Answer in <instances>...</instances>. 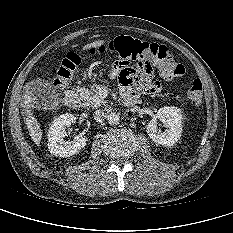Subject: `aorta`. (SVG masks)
<instances>
[{
    "instance_id": "obj_1",
    "label": "aorta",
    "mask_w": 233,
    "mask_h": 233,
    "mask_svg": "<svg viewBox=\"0 0 233 233\" xmlns=\"http://www.w3.org/2000/svg\"><path fill=\"white\" fill-rule=\"evenodd\" d=\"M107 121L110 125L119 124L120 116L117 113L111 112L107 115Z\"/></svg>"
}]
</instances>
